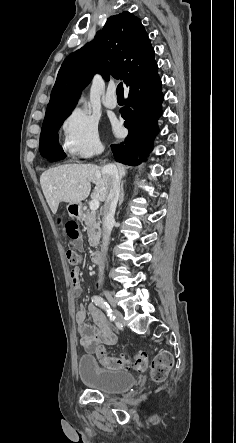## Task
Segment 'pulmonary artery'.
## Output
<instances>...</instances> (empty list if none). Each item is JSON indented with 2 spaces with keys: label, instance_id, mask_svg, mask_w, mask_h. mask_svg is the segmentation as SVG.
I'll list each match as a JSON object with an SVG mask.
<instances>
[{
  "label": "pulmonary artery",
  "instance_id": "obj_1",
  "mask_svg": "<svg viewBox=\"0 0 236 443\" xmlns=\"http://www.w3.org/2000/svg\"><path fill=\"white\" fill-rule=\"evenodd\" d=\"M116 91V87L114 83H111L106 91V94L102 98V104L109 109H114L117 106V102L114 100H110L109 96L114 94Z\"/></svg>",
  "mask_w": 236,
  "mask_h": 443
}]
</instances>
